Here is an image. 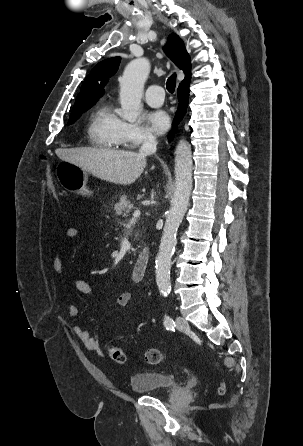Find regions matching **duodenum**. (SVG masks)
I'll list each match as a JSON object with an SVG mask.
<instances>
[{
  "label": "duodenum",
  "instance_id": "410a0bca",
  "mask_svg": "<svg viewBox=\"0 0 303 446\" xmlns=\"http://www.w3.org/2000/svg\"><path fill=\"white\" fill-rule=\"evenodd\" d=\"M149 262L150 253L148 250L144 249L139 253L133 266V276L136 279H142L145 276L148 270Z\"/></svg>",
  "mask_w": 303,
  "mask_h": 446
}]
</instances>
